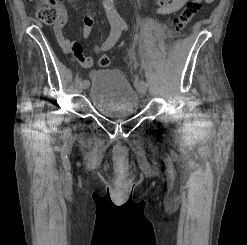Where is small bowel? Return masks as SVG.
Segmentation results:
<instances>
[{
  "label": "small bowel",
  "instance_id": "obj_1",
  "mask_svg": "<svg viewBox=\"0 0 247 245\" xmlns=\"http://www.w3.org/2000/svg\"><path fill=\"white\" fill-rule=\"evenodd\" d=\"M207 4L213 3L215 0H201ZM187 2V0H155L157 5V14L159 15H171L179 11ZM59 20L54 26V33L59 45L62 47L64 52L72 53L80 62L83 67H90L93 64V60L90 57L83 55L82 47L80 44L70 41L65 38V33L63 30L64 25L67 22V13L61 8L59 10ZM93 17L91 13H87L84 17V25L82 29V35L84 38L89 37L92 31Z\"/></svg>",
  "mask_w": 247,
  "mask_h": 245
}]
</instances>
